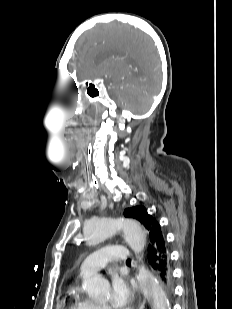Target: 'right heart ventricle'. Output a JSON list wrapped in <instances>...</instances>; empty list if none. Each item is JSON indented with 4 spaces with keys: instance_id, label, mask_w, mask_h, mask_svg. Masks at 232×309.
Instances as JSON below:
<instances>
[{
    "instance_id": "1",
    "label": "right heart ventricle",
    "mask_w": 232,
    "mask_h": 309,
    "mask_svg": "<svg viewBox=\"0 0 232 309\" xmlns=\"http://www.w3.org/2000/svg\"><path fill=\"white\" fill-rule=\"evenodd\" d=\"M68 309H102V307L93 300L84 296L77 284L70 287L68 291Z\"/></svg>"
}]
</instances>
